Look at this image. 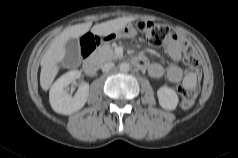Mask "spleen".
<instances>
[{"label": "spleen", "instance_id": "obj_1", "mask_svg": "<svg viewBox=\"0 0 238 158\" xmlns=\"http://www.w3.org/2000/svg\"><path fill=\"white\" fill-rule=\"evenodd\" d=\"M183 85L186 88L194 87L196 85V75L193 73H190L187 76H185V78L183 80Z\"/></svg>", "mask_w": 238, "mask_h": 158}]
</instances>
